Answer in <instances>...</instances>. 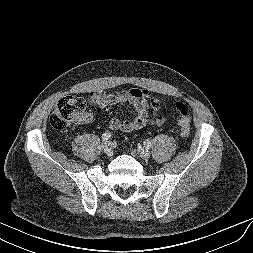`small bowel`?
I'll use <instances>...</instances> for the list:
<instances>
[{
  "label": "small bowel",
  "mask_w": 253,
  "mask_h": 253,
  "mask_svg": "<svg viewBox=\"0 0 253 253\" xmlns=\"http://www.w3.org/2000/svg\"><path fill=\"white\" fill-rule=\"evenodd\" d=\"M88 100L92 107L103 109L121 102H128L134 108L136 114L133 118L121 120L119 118L110 119L108 126L113 131L130 132L145 127L149 122L156 125H163L164 119L157 114L154 120L150 119L149 110H158L164 102L163 98H156L148 91L133 88L130 90H118L110 93L102 91H91ZM91 115L87 113L84 121H89Z\"/></svg>",
  "instance_id": "small-bowel-1"
}]
</instances>
